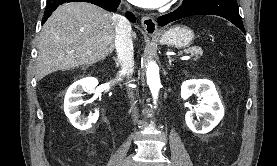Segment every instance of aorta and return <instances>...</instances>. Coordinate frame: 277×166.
<instances>
[{
  "label": "aorta",
  "instance_id": "aorta-1",
  "mask_svg": "<svg viewBox=\"0 0 277 166\" xmlns=\"http://www.w3.org/2000/svg\"><path fill=\"white\" fill-rule=\"evenodd\" d=\"M147 84L149 85L150 91L152 93V97L154 99V103L158 98V93L161 87L160 76H159V68L155 62L148 63L147 71Z\"/></svg>",
  "mask_w": 277,
  "mask_h": 166
}]
</instances>
